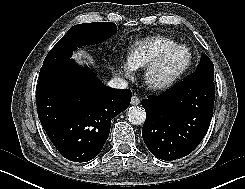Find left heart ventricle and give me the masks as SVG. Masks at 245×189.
<instances>
[{
    "label": "left heart ventricle",
    "mask_w": 245,
    "mask_h": 189,
    "mask_svg": "<svg viewBox=\"0 0 245 189\" xmlns=\"http://www.w3.org/2000/svg\"><path fill=\"white\" fill-rule=\"evenodd\" d=\"M188 54L185 50L179 49L172 52L164 61L162 66L155 71L153 78L163 80L178 71L187 61Z\"/></svg>",
    "instance_id": "1"
}]
</instances>
